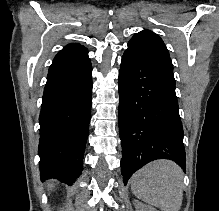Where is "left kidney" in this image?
I'll return each instance as SVG.
<instances>
[{"mask_svg":"<svg viewBox=\"0 0 219 211\" xmlns=\"http://www.w3.org/2000/svg\"><path fill=\"white\" fill-rule=\"evenodd\" d=\"M144 209V207H143ZM147 211H158V209H155V207H146Z\"/></svg>","mask_w":219,"mask_h":211,"instance_id":"5707ae66","label":"left kidney"}]
</instances>
